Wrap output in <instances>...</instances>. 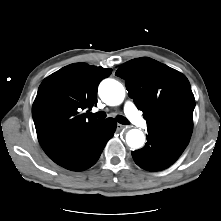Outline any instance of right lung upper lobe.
I'll return each mask as SVG.
<instances>
[{"instance_id": "right-lung-upper-lobe-1", "label": "right lung upper lobe", "mask_w": 221, "mask_h": 221, "mask_svg": "<svg viewBox=\"0 0 221 221\" xmlns=\"http://www.w3.org/2000/svg\"><path fill=\"white\" fill-rule=\"evenodd\" d=\"M111 73L110 68L74 63L41 83L32 116L39 143L49 157L101 121L82 111L97 103L98 84Z\"/></svg>"}]
</instances>
